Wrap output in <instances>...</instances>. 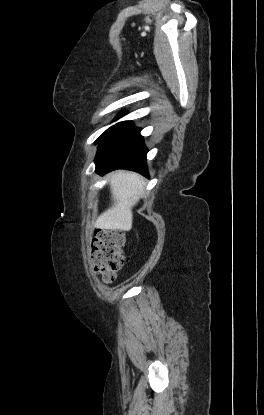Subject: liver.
Instances as JSON below:
<instances>
[{
	"label": "liver",
	"instance_id": "1",
	"mask_svg": "<svg viewBox=\"0 0 264 415\" xmlns=\"http://www.w3.org/2000/svg\"><path fill=\"white\" fill-rule=\"evenodd\" d=\"M112 206L103 212L94 226L103 230L129 231L132 228V208L142 196L143 178L134 172L116 171L111 174Z\"/></svg>",
	"mask_w": 264,
	"mask_h": 415
}]
</instances>
